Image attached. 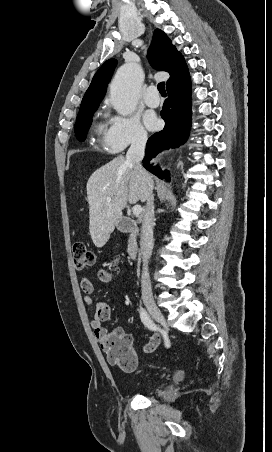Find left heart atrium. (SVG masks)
Segmentation results:
<instances>
[{
  "mask_svg": "<svg viewBox=\"0 0 272 452\" xmlns=\"http://www.w3.org/2000/svg\"><path fill=\"white\" fill-rule=\"evenodd\" d=\"M145 123L150 130H157L160 127L159 119L153 114L145 117Z\"/></svg>",
  "mask_w": 272,
  "mask_h": 452,
  "instance_id": "left-heart-atrium-1",
  "label": "left heart atrium"
}]
</instances>
